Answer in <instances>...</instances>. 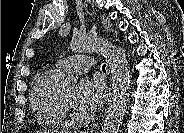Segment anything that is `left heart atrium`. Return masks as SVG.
I'll use <instances>...</instances> for the list:
<instances>
[{
    "label": "left heart atrium",
    "instance_id": "1",
    "mask_svg": "<svg viewBox=\"0 0 184 133\" xmlns=\"http://www.w3.org/2000/svg\"><path fill=\"white\" fill-rule=\"evenodd\" d=\"M105 98L106 90L101 82L84 79L74 91L73 105L78 111L91 114L102 106Z\"/></svg>",
    "mask_w": 184,
    "mask_h": 133
}]
</instances>
